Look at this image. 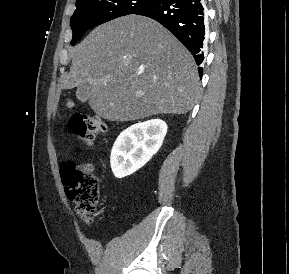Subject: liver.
Here are the masks:
<instances>
[{"label": "liver", "instance_id": "1", "mask_svg": "<svg viewBox=\"0 0 289 274\" xmlns=\"http://www.w3.org/2000/svg\"><path fill=\"white\" fill-rule=\"evenodd\" d=\"M62 88L89 84L91 109L116 122L186 114L199 97L191 53L166 28L138 15L96 27L71 50Z\"/></svg>", "mask_w": 289, "mask_h": 274}]
</instances>
